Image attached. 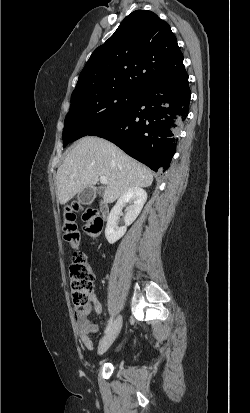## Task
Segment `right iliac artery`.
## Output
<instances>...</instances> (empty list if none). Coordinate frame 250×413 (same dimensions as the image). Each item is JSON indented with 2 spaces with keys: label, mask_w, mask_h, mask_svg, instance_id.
I'll list each match as a JSON object with an SVG mask.
<instances>
[{
  "label": "right iliac artery",
  "mask_w": 250,
  "mask_h": 413,
  "mask_svg": "<svg viewBox=\"0 0 250 413\" xmlns=\"http://www.w3.org/2000/svg\"><path fill=\"white\" fill-rule=\"evenodd\" d=\"M112 325H113V317H111V318L109 319L108 325H107V327H106V329H105V333H108V332H109V330L111 329Z\"/></svg>",
  "instance_id": "obj_1"
}]
</instances>
